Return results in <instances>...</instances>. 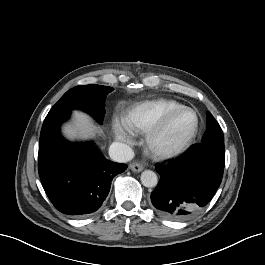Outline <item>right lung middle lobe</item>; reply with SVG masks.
I'll list each match as a JSON object with an SVG mask.
<instances>
[{
  "mask_svg": "<svg viewBox=\"0 0 265 265\" xmlns=\"http://www.w3.org/2000/svg\"><path fill=\"white\" fill-rule=\"evenodd\" d=\"M113 88L101 85L77 86L67 91L49 113L80 109L92 115L99 123L105 115V99Z\"/></svg>",
  "mask_w": 265,
  "mask_h": 265,
  "instance_id": "obj_1",
  "label": "right lung middle lobe"
}]
</instances>
